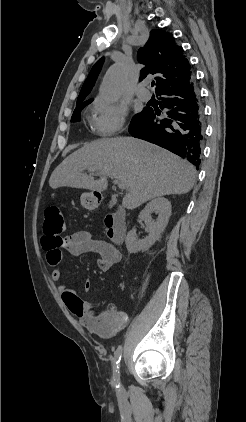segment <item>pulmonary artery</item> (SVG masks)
Instances as JSON below:
<instances>
[{
    "label": "pulmonary artery",
    "mask_w": 246,
    "mask_h": 422,
    "mask_svg": "<svg viewBox=\"0 0 246 422\" xmlns=\"http://www.w3.org/2000/svg\"><path fill=\"white\" fill-rule=\"evenodd\" d=\"M147 83L143 82L139 84V86L136 89V95L138 98H140L143 101H148L151 98V93L146 87Z\"/></svg>",
    "instance_id": "1"
}]
</instances>
